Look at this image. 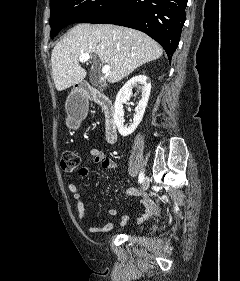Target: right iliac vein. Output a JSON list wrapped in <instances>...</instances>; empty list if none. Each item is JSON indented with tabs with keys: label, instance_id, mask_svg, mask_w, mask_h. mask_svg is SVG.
Instances as JSON below:
<instances>
[{
	"label": "right iliac vein",
	"instance_id": "right-iliac-vein-1",
	"mask_svg": "<svg viewBox=\"0 0 240 281\" xmlns=\"http://www.w3.org/2000/svg\"><path fill=\"white\" fill-rule=\"evenodd\" d=\"M148 187H149V178L145 177L141 185V191L145 192L148 189Z\"/></svg>",
	"mask_w": 240,
	"mask_h": 281
}]
</instances>
